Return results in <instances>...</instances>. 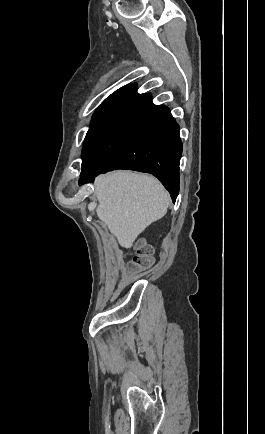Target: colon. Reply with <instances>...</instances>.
<instances>
[{"instance_id":"5ec220e1","label":"colon","mask_w":265,"mask_h":434,"mask_svg":"<svg viewBox=\"0 0 265 434\" xmlns=\"http://www.w3.org/2000/svg\"><path fill=\"white\" fill-rule=\"evenodd\" d=\"M151 256V248L145 246L140 248L136 254V257L127 268V276L129 278H136L151 268L153 265Z\"/></svg>"}]
</instances>
